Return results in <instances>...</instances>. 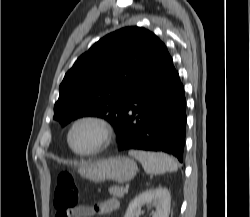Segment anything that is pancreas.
I'll return each instance as SVG.
<instances>
[{"label": "pancreas", "instance_id": "pancreas-1", "mask_svg": "<svg viewBox=\"0 0 250 217\" xmlns=\"http://www.w3.org/2000/svg\"><path fill=\"white\" fill-rule=\"evenodd\" d=\"M109 193L114 197L122 198L125 194V190L122 187L112 186L109 188Z\"/></svg>", "mask_w": 250, "mask_h": 217}]
</instances>
